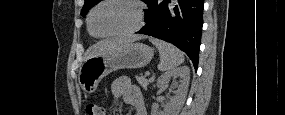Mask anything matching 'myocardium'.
Returning <instances> with one entry per match:
<instances>
[{
    "instance_id": "f54148a6",
    "label": "myocardium",
    "mask_w": 285,
    "mask_h": 115,
    "mask_svg": "<svg viewBox=\"0 0 285 115\" xmlns=\"http://www.w3.org/2000/svg\"><path fill=\"white\" fill-rule=\"evenodd\" d=\"M110 1L123 2V3H127V4H130L131 6H133L135 13H136V17H137V23L133 28L123 30V31H119V32L105 33V34H98V33L93 31V29H92V16H93L94 12L101 5H103L107 2H110ZM144 23H145L144 6H143L142 2L138 1V0H104V1H101L100 3H98L97 5H95L90 10L88 17H87V25H88V30H89L90 34L95 36V37H98V38H110V37L130 35V34L138 32L144 26Z\"/></svg>"
}]
</instances>
